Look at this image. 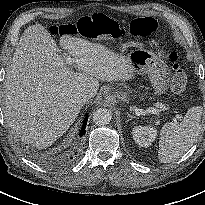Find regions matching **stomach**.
<instances>
[{"label": "stomach", "mask_w": 205, "mask_h": 205, "mask_svg": "<svg viewBox=\"0 0 205 205\" xmlns=\"http://www.w3.org/2000/svg\"><path fill=\"white\" fill-rule=\"evenodd\" d=\"M127 61L133 68L134 74L149 76L157 94H162L167 90L170 70L156 54L146 49H136L128 54ZM114 96L124 102H129L127 93L123 91L115 92Z\"/></svg>", "instance_id": "stomach-1"}]
</instances>
